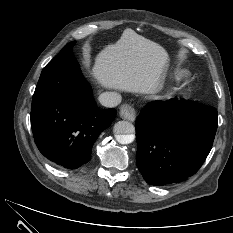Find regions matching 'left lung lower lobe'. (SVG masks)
<instances>
[{
    "instance_id": "obj_1",
    "label": "left lung lower lobe",
    "mask_w": 233,
    "mask_h": 233,
    "mask_svg": "<svg viewBox=\"0 0 233 233\" xmlns=\"http://www.w3.org/2000/svg\"><path fill=\"white\" fill-rule=\"evenodd\" d=\"M218 126L216 109L170 99L149 102L136 120L137 167L145 181L163 186L195 174Z\"/></svg>"
}]
</instances>
